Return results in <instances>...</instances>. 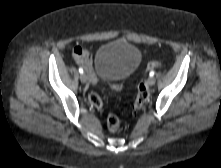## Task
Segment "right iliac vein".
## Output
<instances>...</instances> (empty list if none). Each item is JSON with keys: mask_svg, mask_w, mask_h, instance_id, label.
<instances>
[{"mask_svg": "<svg viewBox=\"0 0 221 168\" xmlns=\"http://www.w3.org/2000/svg\"><path fill=\"white\" fill-rule=\"evenodd\" d=\"M80 80L82 83H87L88 82V76L86 74H81Z\"/></svg>", "mask_w": 221, "mask_h": 168, "instance_id": "1", "label": "right iliac vein"}]
</instances>
